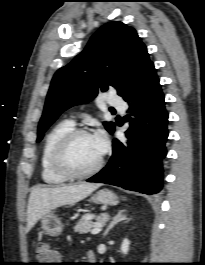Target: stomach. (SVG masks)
I'll list each match as a JSON object with an SVG mask.
<instances>
[{
    "mask_svg": "<svg viewBox=\"0 0 205 265\" xmlns=\"http://www.w3.org/2000/svg\"><path fill=\"white\" fill-rule=\"evenodd\" d=\"M92 201L96 204L117 205V196L108 189H102L96 192L92 197ZM41 225L44 232L50 236H59L62 232L63 225L60 219L52 212L41 218Z\"/></svg>",
    "mask_w": 205,
    "mask_h": 265,
    "instance_id": "obj_1",
    "label": "stomach"
}]
</instances>
